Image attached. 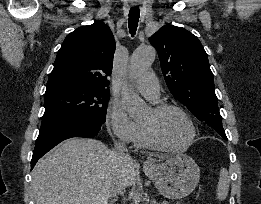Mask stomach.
Masks as SVG:
<instances>
[{"label":"stomach","instance_id":"obj_1","mask_svg":"<svg viewBox=\"0 0 261 204\" xmlns=\"http://www.w3.org/2000/svg\"><path fill=\"white\" fill-rule=\"evenodd\" d=\"M160 194L169 199H181L197 186L200 170L188 155L177 153L162 163L151 162L143 167Z\"/></svg>","mask_w":261,"mask_h":204}]
</instances>
